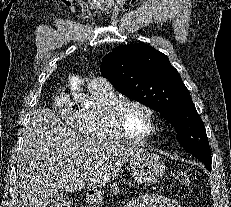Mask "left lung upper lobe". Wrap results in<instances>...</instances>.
<instances>
[{
    "mask_svg": "<svg viewBox=\"0 0 231 207\" xmlns=\"http://www.w3.org/2000/svg\"><path fill=\"white\" fill-rule=\"evenodd\" d=\"M100 70L120 93L158 111L176 129L180 145L211 164L204 123L166 55L145 43L122 45L103 58Z\"/></svg>",
    "mask_w": 231,
    "mask_h": 207,
    "instance_id": "obj_1",
    "label": "left lung upper lobe"
}]
</instances>
